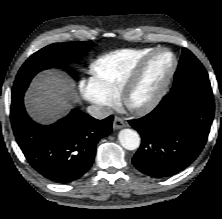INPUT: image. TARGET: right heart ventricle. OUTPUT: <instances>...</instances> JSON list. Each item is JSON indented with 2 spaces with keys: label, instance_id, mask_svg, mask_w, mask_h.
<instances>
[{
  "label": "right heart ventricle",
  "instance_id": "1",
  "mask_svg": "<svg viewBox=\"0 0 222 219\" xmlns=\"http://www.w3.org/2000/svg\"><path fill=\"white\" fill-rule=\"evenodd\" d=\"M154 49H120L98 57L90 64V82L99 94L115 101L137 64Z\"/></svg>",
  "mask_w": 222,
  "mask_h": 219
}]
</instances>
